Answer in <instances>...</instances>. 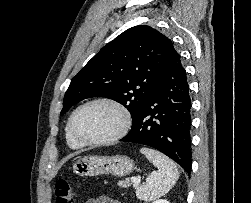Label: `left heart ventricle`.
<instances>
[{"instance_id":"1","label":"left heart ventricle","mask_w":251,"mask_h":203,"mask_svg":"<svg viewBox=\"0 0 251 203\" xmlns=\"http://www.w3.org/2000/svg\"><path fill=\"white\" fill-rule=\"evenodd\" d=\"M121 121V115L115 108L105 104H95L77 114L74 129L84 139L97 140L115 133Z\"/></svg>"}]
</instances>
